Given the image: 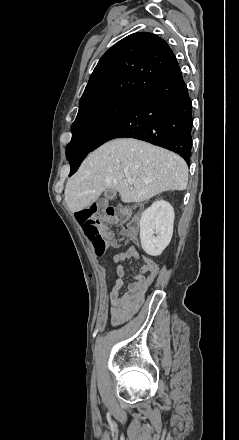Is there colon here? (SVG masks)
<instances>
[{
	"instance_id": "obj_1",
	"label": "colon",
	"mask_w": 239,
	"mask_h": 440,
	"mask_svg": "<svg viewBox=\"0 0 239 440\" xmlns=\"http://www.w3.org/2000/svg\"><path fill=\"white\" fill-rule=\"evenodd\" d=\"M142 206L139 204L128 206H106L102 209V214H98L96 208L85 209L76 214V218L82 227L85 236L92 243L97 255H103L110 243L113 235L105 228V223H124L128 221L134 213L140 212ZM137 228L136 220H132L125 230L126 236H131Z\"/></svg>"
}]
</instances>
